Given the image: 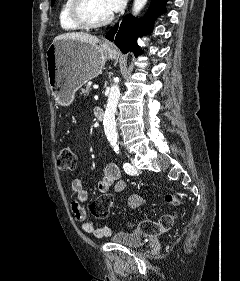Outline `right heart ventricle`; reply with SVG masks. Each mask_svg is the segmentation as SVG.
Masks as SVG:
<instances>
[{
    "instance_id": "right-heart-ventricle-1",
    "label": "right heart ventricle",
    "mask_w": 240,
    "mask_h": 281,
    "mask_svg": "<svg viewBox=\"0 0 240 281\" xmlns=\"http://www.w3.org/2000/svg\"><path fill=\"white\" fill-rule=\"evenodd\" d=\"M72 0H64L59 11V23L65 31H78L82 27L76 24L70 17L69 8Z\"/></svg>"
}]
</instances>
